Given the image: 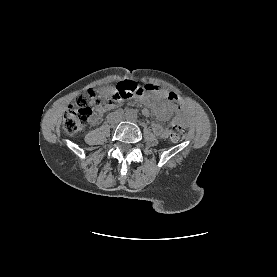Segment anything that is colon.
<instances>
[{
    "mask_svg": "<svg viewBox=\"0 0 277 277\" xmlns=\"http://www.w3.org/2000/svg\"><path fill=\"white\" fill-rule=\"evenodd\" d=\"M142 89L132 81L121 82L115 88L106 91L89 89L85 94L78 96L67 109L62 124L64 133L70 136L77 134L87 125L95 110L108 107L115 101L129 99ZM185 136L184 127L179 123L174 124L171 131L172 140L179 142Z\"/></svg>",
    "mask_w": 277,
    "mask_h": 277,
    "instance_id": "5ec220e1",
    "label": "colon"
}]
</instances>
